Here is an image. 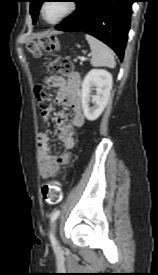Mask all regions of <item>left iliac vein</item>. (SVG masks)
<instances>
[{
  "label": "left iliac vein",
  "mask_w": 158,
  "mask_h": 275,
  "mask_svg": "<svg viewBox=\"0 0 158 275\" xmlns=\"http://www.w3.org/2000/svg\"><path fill=\"white\" fill-rule=\"evenodd\" d=\"M55 228H56V227L54 226V227H53V231H55Z\"/></svg>",
  "instance_id": "4c4485c4"
}]
</instances>
